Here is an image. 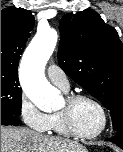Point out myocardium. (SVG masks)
<instances>
[{
  "mask_svg": "<svg viewBox=\"0 0 123 152\" xmlns=\"http://www.w3.org/2000/svg\"><path fill=\"white\" fill-rule=\"evenodd\" d=\"M79 100H88L91 103H93L101 112L102 115V125L101 127L94 133L86 134V133H81L79 132L73 122V117H72V108L74 104L79 101ZM66 101V107L63 110L59 111V114L61 116L63 125L67 132L76 138L80 139H93L98 136H100L107 128L108 126V114L103 106V104L97 100L95 97L92 95L86 94V93H72L66 96L65 98Z\"/></svg>",
  "mask_w": 123,
  "mask_h": 152,
  "instance_id": "f54148a6",
  "label": "myocardium"
}]
</instances>
